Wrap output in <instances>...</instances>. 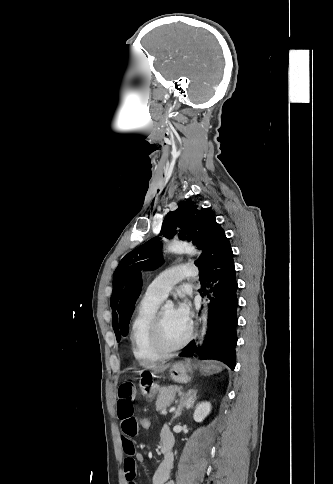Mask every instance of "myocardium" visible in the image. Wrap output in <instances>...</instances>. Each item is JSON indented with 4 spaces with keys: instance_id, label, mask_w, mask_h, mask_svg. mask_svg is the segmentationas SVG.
I'll return each mask as SVG.
<instances>
[{
    "instance_id": "myocardium-1",
    "label": "myocardium",
    "mask_w": 333,
    "mask_h": 484,
    "mask_svg": "<svg viewBox=\"0 0 333 484\" xmlns=\"http://www.w3.org/2000/svg\"><path fill=\"white\" fill-rule=\"evenodd\" d=\"M163 310L156 312L152 327H151V342L154 349L162 356H168L174 352H177L184 348L192 339L193 328L192 325L189 326L188 333L185 338L178 344L170 346L166 343L163 330Z\"/></svg>"
}]
</instances>
